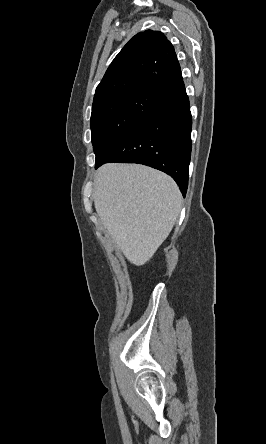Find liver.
I'll use <instances>...</instances> for the list:
<instances>
[{
  "label": "liver",
  "instance_id": "1",
  "mask_svg": "<svg viewBox=\"0 0 266 444\" xmlns=\"http://www.w3.org/2000/svg\"><path fill=\"white\" fill-rule=\"evenodd\" d=\"M94 205L117 247L145 264L170 234L181 210L174 180L138 164H105L95 174Z\"/></svg>",
  "mask_w": 266,
  "mask_h": 444
}]
</instances>
